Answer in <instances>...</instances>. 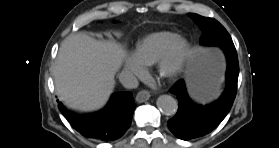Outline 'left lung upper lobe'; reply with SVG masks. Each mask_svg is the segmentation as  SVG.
<instances>
[{"label":"left lung upper lobe","mask_w":279,"mask_h":148,"mask_svg":"<svg viewBox=\"0 0 279 148\" xmlns=\"http://www.w3.org/2000/svg\"><path fill=\"white\" fill-rule=\"evenodd\" d=\"M202 30L200 43L206 46H221L231 43L232 39L226 29L215 19L188 14Z\"/></svg>","instance_id":"obj_1"}]
</instances>
